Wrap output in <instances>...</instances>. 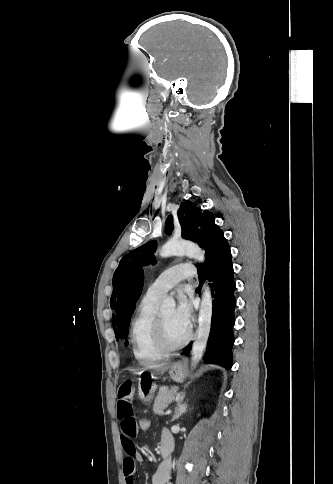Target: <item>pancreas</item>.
<instances>
[{
  "mask_svg": "<svg viewBox=\"0 0 333 484\" xmlns=\"http://www.w3.org/2000/svg\"><path fill=\"white\" fill-rule=\"evenodd\" d=\"M177 387L168 388L161 387L155 399L153 411L156 415H163V410L173 401V397L177 391Z\"/></svg>",
  "mask_w": 333,
  "mask_h": 484,
  "instance_id": "obj_1",
  "label": "pancreas"
}]
</instances>
